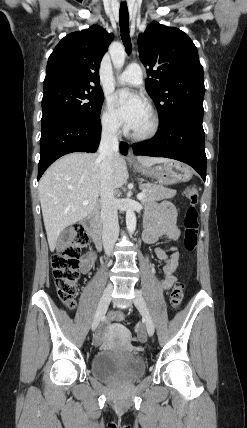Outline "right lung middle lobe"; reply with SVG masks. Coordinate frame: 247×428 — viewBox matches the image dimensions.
Listing matches in <instances>:
<instances>
[{"label":"right lung middle lobe","instance_id":"obj_1","mask_svg":"<svg viewBox=\"0 0 247 428\" xmlns=\"http://www.w3.org/2000/svg\"><path fill=\"white\" fill-rule=\"evenodd\" d=\"M103 93L94 87L65 86L43 92L42 120L64 116L93 122L100 119Z\"/></svg>","mask_w":247,"mask_h":428}]
</instances>
